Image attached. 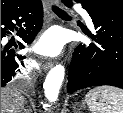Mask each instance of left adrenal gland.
<instances>
[{"mask_svg": "<svg viewBox=\"0 0 123 113\" xmlns=\"http://www.w3.org/2000/svg\"><path fill=\"white\" fill-rule=\"evenodd\" d=\"M82 107H84V108H85V103H84V102H82Z\"/></svg>", "mask_w": 123, "mask_h": 113, "instance_id": "a2214340", "label": "left adrenal gland"}]
</instances>
